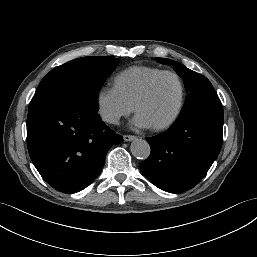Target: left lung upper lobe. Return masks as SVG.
<instances>
[{
	"label": "left lung upper lobe",
	"instance_id": "5c2ea615",
	"mask_svg": "<svg viewBox=\"0 0 257 257\" xmlns=\"http://www.w3.org/2000/svg\"><path fill=\"white\" fill-rule=\"evenodd\" d=\"M155 61L161 64L173 65L175 72L184 80L188 95L181 114L187 113L203 104L219 99L212 87V84L203 75H200L188 69L181 63L170 59L155 58Z\"/></svg>",
	"mask_w": 257,
	"mask_h": 257
}]
</instances>
